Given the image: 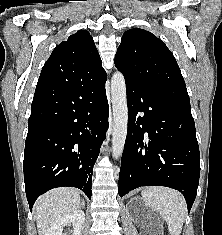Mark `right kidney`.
Returning a JSON list of instances; mask_svg holds the SVG:
<instances>
[{"mask_svg":"<svg viewBox=\"0 0 222 235\" xmlns=\"http://www.w3.org/2000/svg\"><path fill=\"white\" fill-rule=\"evenodd\" d=\"M84 221V212L82 210H76L53 222L48 228L46 235H65L63 233V227L67 225L73 226L72 235H81V230L83 228Z\"/></svg>","mask_w":222,"mask_h":235,"instance_id":"obj_1","label":"right kidney"}]
</instances>
